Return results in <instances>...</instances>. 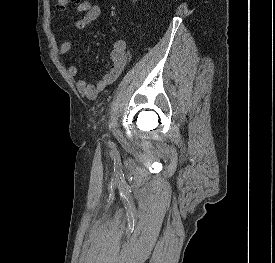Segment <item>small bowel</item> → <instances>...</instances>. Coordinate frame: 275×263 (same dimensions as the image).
<instances>
[{
    "instance_id": "1",
    "label": "small bowel",
    "mask_w": 275,
    "mask_h": 263,
    "mask_svg": "<svg viewBox=\"0 0 275 263\" xmlns=\"http://www.w3.org/2000/svg\"><path fill=\"white\" fill-rule=\"evenodd\" d=\"M76 14H82V17L75 20V27L79 30L87 28L91 23L97 20L101 14V8L88 0L81 1L76 9ZM72 42L64 41L59 47L60 54H66L72 49ZM111 65L108 71L104 72L101 78L95 84H89L85 79H78L75 82L77 89L89 99H95L99 93L114 83L124 70L127 62V45L123 40L112 41V50L110 52ZM68 75L75 78L78 74L77 67L70 65L67 69Z\"/></svg>"
}]
</instances>
